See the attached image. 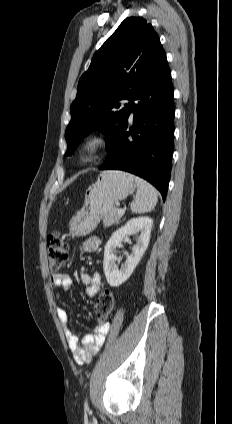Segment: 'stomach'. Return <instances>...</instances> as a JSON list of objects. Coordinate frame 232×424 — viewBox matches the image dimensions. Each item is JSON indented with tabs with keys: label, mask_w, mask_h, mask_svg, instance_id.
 <instances>
[{
	"label": "stomach",
	"mask_w": 232,
	"mask_h": 424,
	"mask_svg": "<svg viewBox=\"0 0 232 424\" xmlns=\"http://www.w3.org/2000/svg\"><path fill=\"white\" fill-rule=\"evenodd\" d=\"M135 188L134 176L129 173L117 170L102 172L89 187L83 209L71 220L70 234L79 237L91 233L104 215L115 207V203L126 199Z\"/></svg>",
	"instance_id": "0dacf381"
}]
</instances>
